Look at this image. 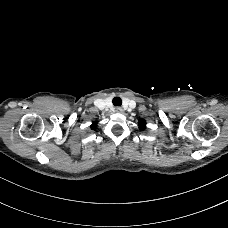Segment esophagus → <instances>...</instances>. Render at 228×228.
I'll return each mask as SVG.
<instances>
[{"mask_svg": "<svg viewBox=\"0 0 228 228\" xmlns=\"http://www.w3.org/2000/svg\"><path fill=\"white\" fill-rule=\"evenodd\" d=\"M115 111L118 112V113H122L123 112V109L121 107H116L115 108Z\"/></svg>", "mask_w": 228, "mask_h": 228, "instance_id": "34e87169", "label": "esophagus"}]
</instances>
